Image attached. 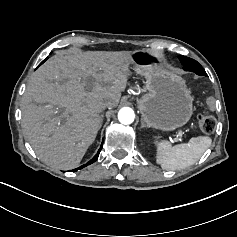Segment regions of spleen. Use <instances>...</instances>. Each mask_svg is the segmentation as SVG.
<instances>
[{"label":"spleen","mask_w":237,"mask_h":237,"mask_svg":"<svg viewBox=\"0 0 237 237\" xmlns=\"http://www.w3.org/2000/svg\"><path fill=\"white\" fill-rule=\"evenodd\" d=\"M212 144V137L197 136L189 143L172 145L167 139L155 142V162L164 170H182L195 164Z\"/></svg>","instance_id":"spleen-1"}]
</instances>
